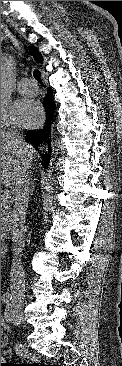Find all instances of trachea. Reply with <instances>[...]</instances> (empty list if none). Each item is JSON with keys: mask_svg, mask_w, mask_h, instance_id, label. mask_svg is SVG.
<instances>
[{"mask_svg": "<svg viewBox=\"0 0 122 366\" xmlns=\"http://www.w3.org/2000/svg\"><path fill=\"white\" fill-rule=\"evenodd\" d=\"M33 75H34L35 80H37V82H38L39 84H41L42 86H44V84H43V82H42V79H41V73H40V71L35 70V71L33 72Z\"/></svg>", "mask_w": 122, "mask_h": 366, "instance_id": "3493384b", "label": "trachea"}]
</instances>
